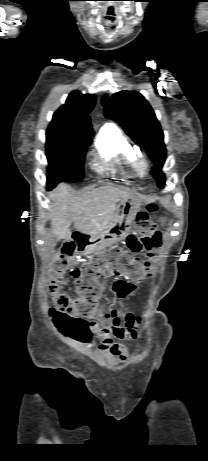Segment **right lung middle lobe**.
I'll return each instance as SVG.
<instances>
[{
    "label": "right lung middle lobe",
    "instance_id": "dd1d6c3e",
    "mask_svg": "<svg viewBox=\"0 0 208 461\" xmlns=\"http://www.w3.org/2000/svg\"><path fill=\"white\" fill-rule=\"evenodd\" d=\"M93 136L69 135L48 128L47 186H55L62 181L78 182L84 178V158Z\"/></svg>",
    "mask_w": 208,
    "mask_h": 461
}]
</instances>
